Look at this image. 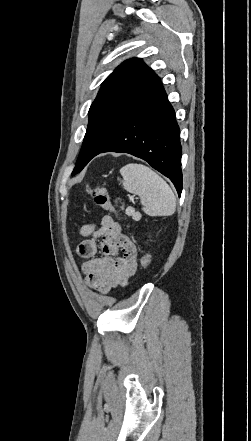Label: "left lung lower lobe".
Segmentation results:
<instances>
[{"instance_id":"obj_1","label":"left lung lower lobe","mask_w":251,"mask_h":441,"mask_svg":"<svg viewBox=\"0 0 251 441\" xmlns=\"http://www.w3.org/2000/svg\"><path fill=\"white\" fill-rule=\"evenodd\" d=\"M104 152L129 153L147 161L182 191L179 126L160 80L126 115H106L93 122L84 137L83 168Z\"/></svg>"}]
</instances>
